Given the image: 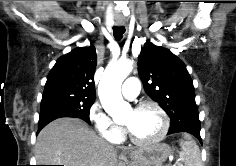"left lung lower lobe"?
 Wrapping results in <instances>:
<instances>
[{
  "label": "left lung lower lobe",
  "mask_w": 236,
  "mask_h": 166,
  "mask_svg": "<svg viewBox=\"0 0 236 166\" xmlns=\"http://www.w3.org/2000/svg\"><path fill=\"white\" fill-rule=\"evenodd\" d=\"M200 127L201 126L197 112L196 114H191L184 119L171 123L168 135L178 132H187L194 135L202 143V139L200 137Z\"/></svg>",
  "instance_id": "obj_1"
}]
</instances>
